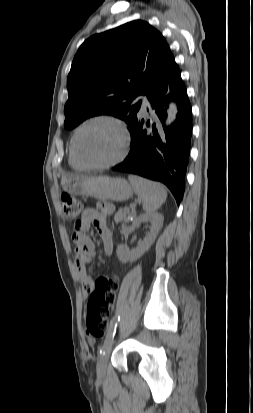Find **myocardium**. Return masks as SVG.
I'll list each match as a JSON object with an SVG mask.
<instances>
[{
  "label": "myocardium",
  "mask_w": 253,
  "mask_h": 413,
  "mask_svg": "<svg viewBox=\"0 0 253 413\" xmlns=\"http://www.w3.org/2000/svg\"><path fill=\"white\" fill-rule=\"evenodd\" d=\"M97 122H105V123H109L112 124L113 126H115L120 134L121 137V151L120 153L112 160L104 162V163H88L86 161H84L77 150V138L78 135L80 134V132L87 126L93 124V123H97ZM71 150H72V154L74 159L78 162L79 165H81L83 168H87V169H95V170H99V169H107L110 167H113L117 164H119L120 162H122L125 157L128 154L129 151V137L127 134V130L124 126V124L122 123L121 120H119L116 117L110 116V115H97L94 117H91L89 119H87L86 121H84L81 125H79L76 130L73 133L72 139H71Z\"/></svg>",
  "instance_id": "f54148a6"
}]
</instances>
